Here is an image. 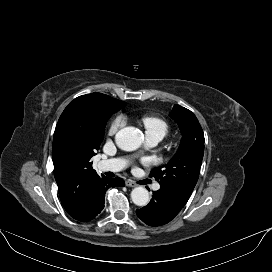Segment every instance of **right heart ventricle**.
Wrapping results in <instances>:
<instances>
[{
  "label": "right heart ventricle",
  "mask_w": 272,
  "mask_h": 272,
  "mask_svg": "<svg viewBox=\"0 0 272 272\" xmlns=\"http://www.w3.org/2000/svg\"><path fill=\"white\" fill-rule=\"evenodd\" d=\"M144 125L147 129V133H161L165 135L168 131V124L158 117H146L144 119Z\"/></svg>",
  "instance_id": "right-heart-ventricle-1"
}]
</instances>
